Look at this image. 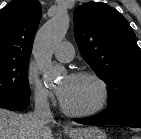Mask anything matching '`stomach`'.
I'll return each instance as SVG.
<instances>
[{
  "label": "stomach",
  "mask_w": 141,
  "mask_h": 139,
  "mask_svg": "<svg viewBox=\"0 0 141 139\" xmlns=\"http://www.w3.org/2000/svg\"><path fill=\"white\" fill-rule=\"evenodd\" d=\"M69 136L70 139H107L106 134L95 126L72 130Z\"/></svg>",
  "instance_id": "1"
}]
</instances>
